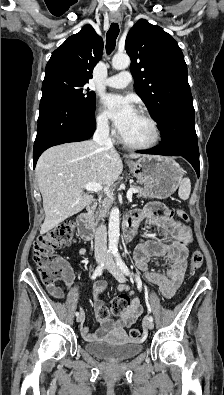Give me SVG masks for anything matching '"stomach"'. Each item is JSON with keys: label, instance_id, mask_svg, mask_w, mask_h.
<instances>
[{"label": "stomach", "instance_id": "stomach-1", "mask_svg": "<svg viewBox=\"0 0 224 395\" xmlns=\"http://www.w3.org/2000/svg\"><path fill=\"white\" fill-rule=\"evenodd\" d=\"M127 164L152 198L165 199L171 196L182 181L183 169L169 157L143 156Z\"/></svg>", "mask_w": 224, "mask_h": 395}]
</instances>
